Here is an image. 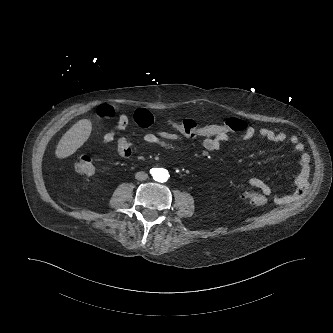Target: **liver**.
Segmentation results:
<instances>
[{"label": "liver", "mask_w": 333, "mask_h": 333, "mask_svg": "<svg viewBox=\"0 0 333 333\" xmlns=\"http://www.w3.org/2000/svg\"><path fill=\"white\" fill-rule=\"evenodd\" d=\"M92 123L89 119H81L74 124L60 139L55 155L59 159L73 155L90 137Z\"/></svg>", "instance_id": "1"}]
</instances>
